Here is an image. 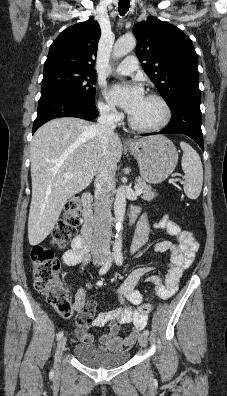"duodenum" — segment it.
Returning a JSON list of instances; mask_svg holds the SVG:
<instances>
[{"label":"duodenum","instance_id":"410a0bca","mask_svg":"<svg viewBox=\"0 0 227 396\" xmlns=\"http://www.w3.org/2000/svg\"><path fill=\"white\" fill-rule=\"evenodd\" d=\"M83 204V224L81 228L80 237L84 244L89 248L92 242L93 233V210H92V195L90 193H84L82 196Z\"/></svg>","mask_w":227,"mask_h":396}]
</instances>
